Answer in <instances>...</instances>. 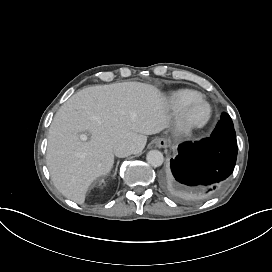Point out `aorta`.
<instances>
[{
    "mask_svg": "<svg viewBox=\"0 0 272 272\" xmlns=\"http://www.w3.org/2000/svg\"><path fill=\"white\" fill-rule=\"evenodd\" d=\"M164 157L160 151L152 150L147 154V162L154 167H159L163 164Z\"/></svg>",
    "mask_w": 272,
    "mask_h": 272,
    "instance_id": "762f6f07",
    "label": "aorta"
}]
</instances>
